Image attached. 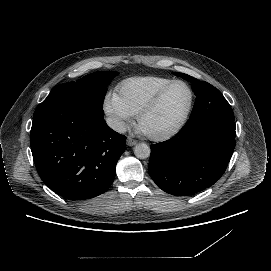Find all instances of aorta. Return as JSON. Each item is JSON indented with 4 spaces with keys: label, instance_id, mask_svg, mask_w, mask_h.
Returning <instances> with one entry per match:
<instances>
[{
    "label": "aorta",
    "instance_id": "obj_1",
    "mask_svg": "<svg viewBox=\"0 0 271 271\" xmlns=\"http://www.w3.org/2000/svg\"><path fill=\"white\" fill-rule=\"evenodd\" d=\"M134 154L138 159H147L151 155V149L147 144H137L134 148Z\"/></svg>",
    "mask_w": 271,
    "mask_h": 271
}]
</instances>
